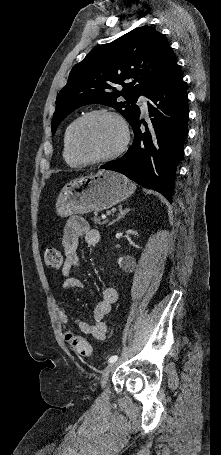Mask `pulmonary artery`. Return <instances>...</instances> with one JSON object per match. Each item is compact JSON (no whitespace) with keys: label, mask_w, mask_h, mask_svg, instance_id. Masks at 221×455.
Here are the masks:
<instances>
[{"label":"pulmonary artery","mask_w":221,"mask_h":455,"mask_svg":"<svg viewBox=\"0 0 221 455\" xmlns=\"http://www.w3.org/2000/svg\"><path fill=\"white\" fill-rule=\"evenodd\" d=\"M139 104L141 106L142 111L146 113L147 112V103H146L145 99L140 100Z\"/></svg>","instance_id":"1"}]
</instances>
